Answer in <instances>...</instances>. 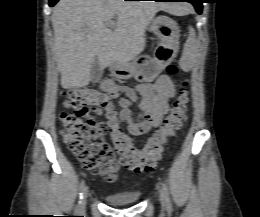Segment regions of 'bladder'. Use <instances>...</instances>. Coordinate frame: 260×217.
Instances as JSON below:
<instances>
[{
    "label": "bladder",
    "instance_id": "bladder-1",
    "mask_svg": "<svg viewBox=\"0 0 260 217\" xmlns=\"http://www.w3.org/2000/svg\"><path fill=\"white\" fill-rule=\"evenodd\" d=\"M140 198V193H126L119 195H108L106 200L115 206H125L136 203Z\"/></svg>",
    "mask_w": 260,
    "mask_h": 217
}]
</instances>
